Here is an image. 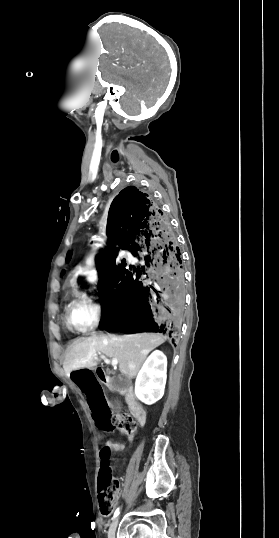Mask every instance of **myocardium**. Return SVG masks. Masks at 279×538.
Returning a JSON list of instances; mask_svg holds the SVG:
<instances>
[{
    "mask_svg": "<svg viewBox=\"0 0 279 538\" xmlns=\"http://www.w3.org/2000/svg\"><path fill=\"white\" fill-rule=\"evenodd\" d=\"M76 230H77V229H75V228L73 229V231H76Z\"/></svg>",
    "mask_w": 279,
    "mask_h": 538,
    "instance_id": "myocardium-1",
    "label": "myocardium"
}]
</instances>
